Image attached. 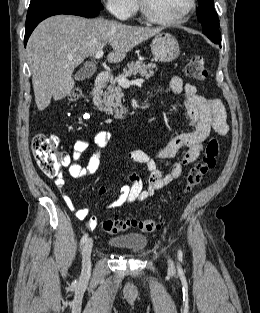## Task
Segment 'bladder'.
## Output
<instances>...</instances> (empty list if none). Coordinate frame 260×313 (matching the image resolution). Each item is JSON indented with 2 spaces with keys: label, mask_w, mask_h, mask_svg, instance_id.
I'll return each instance as SVG.
<instances>
[{
  "label": "bladder",
  "mask_w": 260,
  "mask_h": 313,
  "mask_svg": "<svg viewBox=\"0 0 260 313\" xmlns=\"http://www.w3.org/2000/svg\"><path fill=\"white\" fill-rule=\"evenodd\" d=\"M108 244L113 248L139 252L146 246L147 238L140 234H126L110 238Z\"/></svg>",
  "instance_id": "bladder-1"
}]
</instances>
